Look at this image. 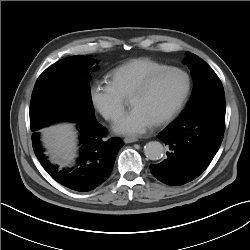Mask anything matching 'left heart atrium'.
Returning <instances> with one entry per match:
<instances>
[{
	"instance_id": "left-heart-atrium-1",
	"label": "left heart atrium",
	"mask_w": 250,
	"mask_h": 250,
	"mask_svg": "<svg viewBox=\"0 0 250 250\" xmlns=\"http://www.w3.org/2000/svg\"><path fill=\"white\" fill-rule=\"evenodd\" d=\"M155 122L140 107H133L129 112L124 114L114 126L117 133L136 136L145 133Z\"/></svg>"
}]
</instances>
